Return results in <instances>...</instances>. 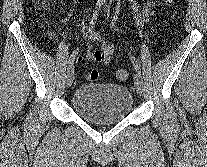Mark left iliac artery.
I'll return each mask as SVG.
<instances>
[{"label":"left iliac artery","instance_id":"1","mask_svg":"<svg viewBox=\"0 0 207 167\" xmlns=\"http://www.w3.org/2000/svg\"><path fill=\"white\" fill-rule=\"evenodd\" d=\"M106 10H107V5H106ZM107 13L109 15V10H107ZM130 57H131V60L133 62V65H134L136 72L141 75V70H140V66H139L138 62L135 60L134 56H130Z\"/></svg>","mask_w":207,"mask_h":167}]
</instances>
